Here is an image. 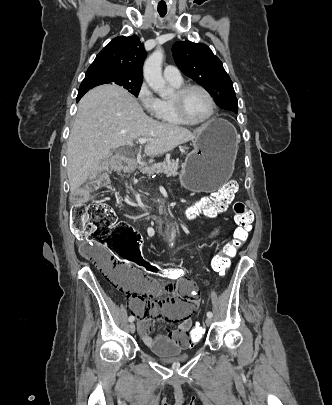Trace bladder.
I'll use <instances>...</instances> for the list:
<instances>
[{
	"label": "bladder",
	"instance_id": "obj_1",
	"mask_svg": "<svg viewBox=\"0 0 332 405\" xmlns=\"http://www.w3.org/2000/svg\"><path fill=\"white\" fill-rule=\"evenodd\" d=\"M150 352L165 362H183V361L188 360L190 357V355L188 353H182L179 351L166 353V352L150 349Z\"/></svg>",
	"mask_w": 332,
	"mask_h": 405
}]
</instances>
